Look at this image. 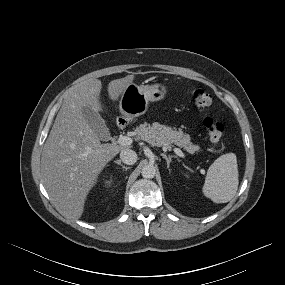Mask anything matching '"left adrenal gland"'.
<instances>
[{
	"mask_svg": "<svg viewBox=\"0 0 285 285\" xmlns=\"http://www.w3.org/2000/svg\"><path fill=\"white\" fill-rule=\"evenodd\" d=\"M161 156L166 160V162H167V168H169V166H170L171 159H172V158H176V156H173V155L167 156V155L164 154V153H162Z\"/></svg>",
	"mask_w": 285,
	"mask_h": 285,
	"instance_id": "1",
	"label": "left adrenal gland"
}]
</instances>
